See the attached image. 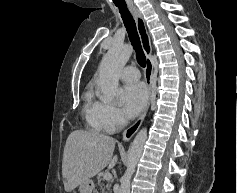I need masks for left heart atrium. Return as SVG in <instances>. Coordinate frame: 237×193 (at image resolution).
Masks as SVG:
<instances>
[{"label":"left heart atrium","instance_id":"obj_1","mask_svg":"<svg viewBox=\"0 0 237 193\" xmlns=\"http://www.w3.org/2000/svg\"><path fill=\"white\" fill-rule=\"evenodd\" d=\"M147 89L142 83L126 85L121 91V104L125 115L129 118L138 115L147 102Z\"/></svg>","mask_w":237,"mask_h":193}]
</instances>
